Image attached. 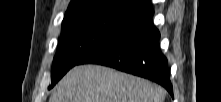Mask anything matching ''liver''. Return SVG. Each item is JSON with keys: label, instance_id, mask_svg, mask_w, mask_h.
Listing matches in <instances>:
<instances>
[{"label": "liver", "instance_id": "6515ba94", "mask_svg": "<svg viewBox=\"0 0 221 102\" xmlns=\"http://www.w3.org/2000/svg\"><path fill=\"white\" fill-rule=\"evenodd\" d=\"M165 90L145 79L98 65L71 69L49 102H163Z\"/></svg>", "mask_w": 221, "mask_h": 102}]
</instances>
